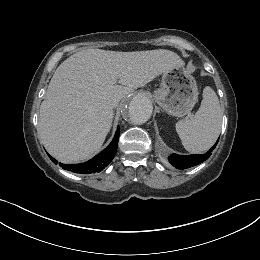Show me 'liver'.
Segmentation results:
<instances>
[{
	"label": "liver",
	"instance_id": "liver-1",
	"mask_svg": "<svg viewBox=\"0 0 260 260\" xmlns=\"http://www.w3.org/2000/svg\"><path fill=\"white\" fill-rule=\"evenodd\" d=\"M184 65L176 53L165 49H86L73 54L56 69L41 103V142L63 163L91 158L111 129L120 99Z\"/></svg>",
	"mask_w": 260,
	"mask_h": 260
}]
</instances>
